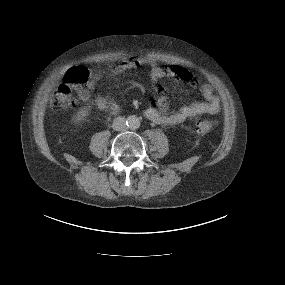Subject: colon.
Returning <instances> with one entry per match:
<instances>
[{
    "mask_svg": "<svg viewBox=\"0 0 285 285\" xmlns=\"http://www.w3.org/2000/svg\"><path fill=\"white\" fill-rule=\"evenodd\" d=\"M123 64L136 65L135 60L123 61ZM176 76L180 73L187 74V71L180 66L172 67ZM90 77L89 69L85 66H77L70 69L64 79V82L55 90L51 97V107L55 110L67 109L75 104L73 91L87 83ZM213 123L210 121L200 120L196 123V131L199 134H206L212 129Z\"/></svg>",
    "mask_w": 285,
    "mask_h": 285,
    "instance_id": "colon-1",
    "label": "colon"
}]
</instances>
